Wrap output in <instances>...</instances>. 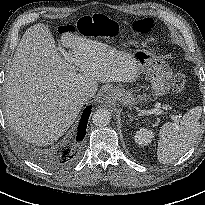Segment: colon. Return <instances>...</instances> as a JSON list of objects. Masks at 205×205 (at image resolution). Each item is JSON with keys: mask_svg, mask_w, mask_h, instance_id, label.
<instances>
[{"mask_svg": "<svg viewBox=\"0 0 205 205\" xmlns=\"http://www.w3.org/2000/svg\"><path fill=\"white\" fill-rule=\"evenodd\" d=\"M84 19L86 23H82L78 27L79 32L84 36L104 38L109 36L113 30V26L109 19L102 14H93ZM132 27L137 34L148 35L154 31L156 23L152 18L146 17L136 20ZM53 31L60 35L65 33H75L76 27L71 24H66L53 28ZM175 68L176 73L172 80V88L175 92L179 93L186 85V78L184 74L178 70V66H175Z\"/></svg>", "mask_w": 205, "mask_h": 205, "instance_id": "obj_1", "label": "colon"}]
</instances>
